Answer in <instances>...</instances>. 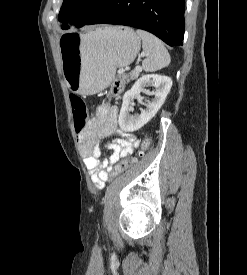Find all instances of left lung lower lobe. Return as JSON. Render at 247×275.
Segmentation results:
<instances>
[{"mask_svg": "<svg viewBox=\"0 0 247 275\" xmlns=\"http://www.w3.org/2000/svg\"><path fill=\"white\" fill-rule=\"evenodd\" d=\"M184 3L185 0H107L84 25L131 26L153 33L170 46H180L185 28Z\"/></svg>", "mask_w": 247, "mask_h": 275, "instance_id": "obj_1", "label": "left lung lower lobe"}]
</instances>
